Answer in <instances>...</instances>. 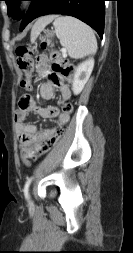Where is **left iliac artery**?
Returning a JSON list of instances; mask_svg holds the SVG:
<instances>
[{"label":"left iliac artery","mask_w":133,"mask_h":253,"mask_svg":"<svg viewBox=\"0 0 133 253\" xmlns=\"http://www.w3.org/2000/svg\"><path fill=\"white\" fill-rule=\"evenodd\" d=\"M32 179H33V177H30V178L27 179V181H26V183L24 185V189H23L25 198L27 200H29L28 189H29V186H30V183H31Z\"/></svg>","instance_id":"44dca946"}]
</instances>
